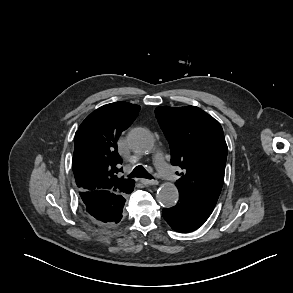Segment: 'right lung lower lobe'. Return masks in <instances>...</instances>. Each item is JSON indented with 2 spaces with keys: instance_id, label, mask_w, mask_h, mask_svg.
<instances>
[{
  "instance_id": "obj_1",
  "label": "right lung lower lobe",
  "mask_w": 293,
  "mask_h": 293,
  "mask_svg": "<svg viewBox=\"0 0 293 293\" xmlns=\"http://www.w3.org/2000/svg\"><path fill=\"white\" fill-rule=\"evenodd\" d=\"M134 182L123 191H86L80 192L85 213L96 225L112 227L122 219L125 196L133 191Z\"/></svg>"
}]
</instances>
